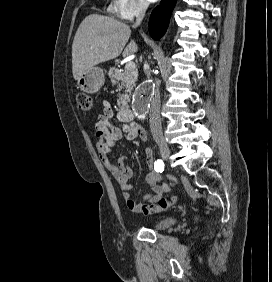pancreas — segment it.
I'll list each match as a JSON object with an SVG mask.
<instances>
[{"instance_id": "cf45deb5", "label": "pancreas", "mask_w": 272, "mask_h": 282, "mask_svg": "<svg viewBox=\"0 0 272 282\" xmlns=\"http://www.w3.org/2000/svg\"><path fill=\"white\" fill-rule=\"evenodd\" d=\"M112 84L118 85L120 90H124V93L119 95L118 106L126 105L131 96V92L136 85L138 73L136 70L120 71L116 67H111L108 73Z\"/></svg>"}]
</instances>
